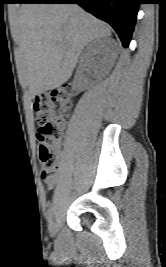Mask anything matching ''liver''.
<instances>
[{
  "instance_id": "liver-1",
  "label": "liver",
  "mask_w": 166,
  "mask_h": 267,
  "mask_svg": "<svg viewBox=\"0 0 166 267\" xmlns=\"http://www.w3.org/2000/svg\"><path fill=\"white\" fill-rule=\"evenodd\" d=\"M12 34L19 77L36 96L65 83L84 47L111 30L76 4L32 3L21 6Z\"/></svg>"
}]
</instances>
